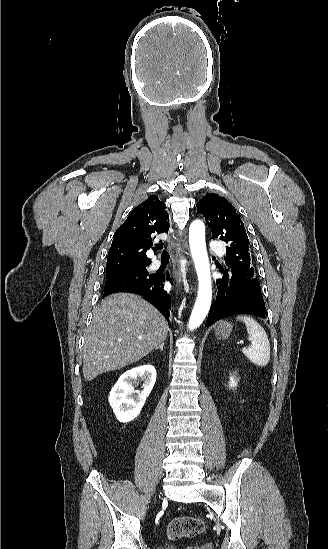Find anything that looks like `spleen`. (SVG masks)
Here are the masks:
<instances>
[{
  "label": "spleen",
  "mask_w": 328,
  "mask_h": 549,
  "mask_svg": "<svg viewBox=\"0 0 328 549\" xmlns=\"http://www.w3.org/2000/svg\"><path fill=\"white\" fill-rule=\"evenodd\" d=\"M236 321L245 323L249 335L248 339L252 343L250 347H244L242 353L257 367H266L270 361V343L266 331L248 315H238Z\"/></svg>",
  "instance_id": "spleen-1"
}]
</instances>
